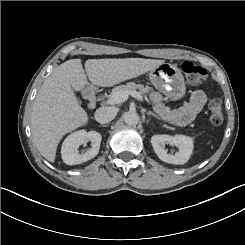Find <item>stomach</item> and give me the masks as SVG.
Instances as JSON below:
<instances>
[{
  "label": "stomach",
  "instance_id": "obj_1",
  "mask_svg": "<svg viewBox=\"0 0 245 245\" xmlns=\"http://www.w3.org/2000/svg\"><path fill=\"white\" fill-rule=\"evenodd\" d=\"M153 86L171 98H180L185 91L181 72L176 65L162 63L148 72Z\"/></svg>",
  "mask_w": 245,
  "mask_h": 245
}]
</instances>
